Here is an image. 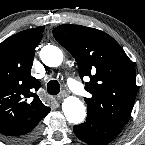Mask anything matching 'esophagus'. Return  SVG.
<instances>
[{
    "mask_svg": "<svg viewBox=\"0 0 145 145\" xmlns=\"http://www.w3.org/2000/svg\"><path fill=\"white\" fill-rule=\"evenodd\" d=\"M66 96V92L62 91L58 96H57V100H62L64 97Z\"/></svg>",
    "mask_w": 145,
    "mask_h": 145,
    "instance_id": "1",
    "label": "esophagus"
}]
</instances>
